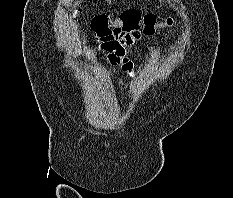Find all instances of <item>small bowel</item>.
I'll list each match as a JSON object with an SVG mask.
<instances>
[{"label": "small bowel", "instance_id": "1", "mask_svg": "<svg viewBox=\"0 0 233 198\" xmlns=\"http://www.w3.org/2000/svg\"><path fill=\"white\" fill-rule=\"evenodd\" d=\"M142 34L139 32L117 31L111 36L99 40V50L104 53V60L108 65L120 67L127 75L132 76L134 63L127 57L125 49L134 45Z\"/></svg>", "mask_w": 233, "mask_h": 198}]
</instances>
